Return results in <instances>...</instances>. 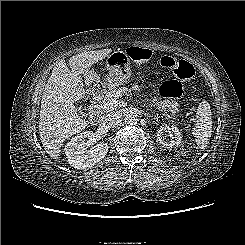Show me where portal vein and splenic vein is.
Instances as JSON below:
<instances>
[{
  "label": "portal vein and splenic vein",
  "mask_w": 245,
  "mask_h": 245,
  "mask_svg": "<svg viewBox=\"0 0 245 245\" xmlns=\"http://www.w3.org/2000/svg\"><path fill=\"white\" fill-rule=\"evenodd\" d=\"M118 106V100L117 99H111L109 101H102L101 104L96 106V111L101 112L103 110H114ZM168 119L176 120L175 117L169 114H163Z\"/></svg>",
  "instance_id": "portal-vein-and-splenic-vein-1"
}]
</instances>
